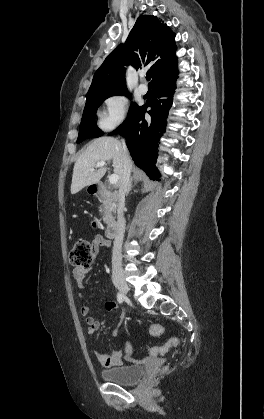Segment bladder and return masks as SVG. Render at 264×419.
<instances>
[{
	"label": "bladder",
	"mask_w": 264,
	"mask_h": 419,
	"mask_svg": "<svg viewBox=\"0 0 264 419\" xmlns=\"http://www.w3.org/2000/svg\"><path fill=\"white\" fill-rule=\"evenodd\" d=\"M145 374L142 364H125L122 366L105 369L101 372L102 378L111 383L131 385L138 382Z\"/></svg>",
	"instance_id": "bladder-1"
}]
</instances>
